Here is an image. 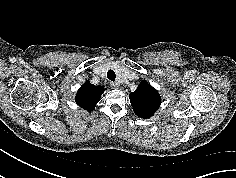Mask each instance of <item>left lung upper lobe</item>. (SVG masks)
<instances>
[{"label":"left lung upper lobe","instance_id":"1","mask_svg":"<svg viewBox=\"0 0 236 178\" xmlns=\"http://www.w3.org/2000/svg\"><path fill=\"white\" fill-rule=\"evenodd\" d=\"M130 102L135 114L146 119L154 115L161 104V99L154 87L142 81L136 91L130 93Z\"/></svg>","mask_w":236,"mask_h":178}]
</instances>
